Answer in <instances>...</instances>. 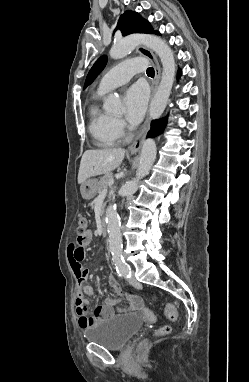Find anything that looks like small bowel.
Wrapping results in <instances>:
<instances>
[{"instance_id":"1","label":"small bowel","mask_w":249,"mask_h":382,"mask_svg":"<svg viewBox=\"0 0 249 382\" xmlns=\"http://www.w3.org/2000/svg\"><path fill=\"white\" fill-rule=\"evenodd\" d=\"M92 232L87 230L84 240L78 241L76 238L75 241L70 243L69 252L67 253V258L70 259L71 266L76 274L77 266H81L82 262L87 261L86 251L87 246L90 244L92 240ZM76 277L78 279V284L80 291L76 295V313L79 317L78 324L81 329H86L91 325L109 317L112 313V310L109 305H98L91 316L87 315V305L89 304V300L85 298L84 295L94 296L95 291L89 284L86 283V278H81L79 276ZM109 286L114 289V291L118 294H121V288L117 283L114 276L110 275L108 278ZM130 302L134 308L142 307V300L137 297H130Z\"/></svg>"}]
</instances>
